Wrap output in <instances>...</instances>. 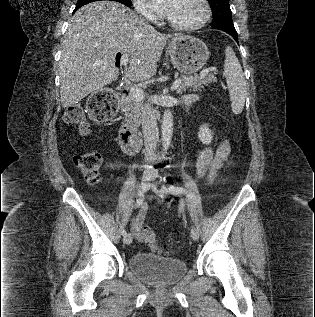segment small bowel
<instances>
[{
  "mask_svg": "<svg viewBox=\"0 0 315 317\" xmlns=\"http://www.w3.org/2000/svg\"><path fill=\"white\" fill-rule=\"evenodd\" d=\"M195 95L185 97L187 105L196 101ZM231 161V149L229 141L222 138L217 144L207 146L199 155L195 163V174L197 177H206L209 181L213 180L217 172ZM149 206L144 204L138 215L132 222V231L137 239H141L142 228L144 227L145 217Z\"/></svg>",
  "mask_w": 315,
  "mask_h": 317,
  "instance_id": "small-bowel-1",
  "label": "small bowel"
}]
</instances>
